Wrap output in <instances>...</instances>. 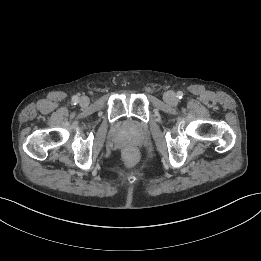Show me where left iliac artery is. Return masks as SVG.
Returning <instances> with one entry per match:
<instances>
[{
    "instance_id": "44dca946",
    "label": "left iliac artery",
    "mask_w": 261,
    "mask_h": 261,
    "mask_svg": "<svg viewBox=\"0 0 261 261\" xmlns=\"http://www.w3.org/2000/svg\"><path fill=\"white\" fill-rule=\"evenodd\" d=\"M177 97L181 99L183 97V93L181 91L177 92Z\"/></svg>"
}]
</instances>
